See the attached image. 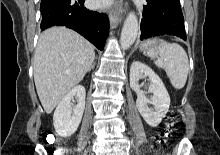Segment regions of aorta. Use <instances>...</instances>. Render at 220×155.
<instances>
[{"mask_svg": "<svg viewBox=\"0 0 220 155\" xmlns=\"http://www.w3.org/2000/svg\"><path fill=\"white\" fill-rule=\"evenodd\" d=\"M138 33V19L135 13H130L123 25L120 44L123 50L128 49L136 40Z\"/></svg>", "mask_w": 220, "mask_h": 155, "instance_id": "aorta-1", "label": "aorta"}]
</instances>
